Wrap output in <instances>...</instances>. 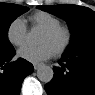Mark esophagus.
Instances as JSON below:
<instances>
[{
    "mask_svg": "<svg viewBox=\"0 0 95 95\" xmlns=\"http://www.w3.org/2000/svg\"><path fill=\"white\" fill-rule=\"evenodd\" d=\"M40 63H34L33 66H34V69L37 70L39 67H40Z\"/></svg>",
    "mask_w": 95,
    "mask_h": 95,
    "instance_id": "obj_1",
    "label": "esophagus"
}]
</instances>
